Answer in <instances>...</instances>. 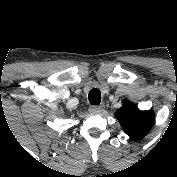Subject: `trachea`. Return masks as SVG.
<instances>
[{
  "label": "trachea",
  "mask_w": 177,
  "mask_h": 177,
  "mask_svg": "<svg viewBox=\"0 0 177 177\" xmlns=\"http://www.w3.org/2000/svg\"><path fill=\"white\" fill-rule=\"evenodd\" d=\"M88 99L91 105H99L101 102V92L94 88L89 92Z\"/></svg>",
  "instance_id": "trachea-1"
}]
</instances>
